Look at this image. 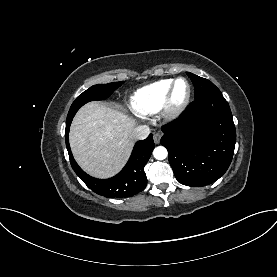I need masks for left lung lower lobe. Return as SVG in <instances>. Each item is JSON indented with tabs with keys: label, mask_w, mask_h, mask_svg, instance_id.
I'll list each match as a JSON object with an SVG mask.
<instances>
[{
	"label": "left lung lower lobe",
	"mask_w": 277,
	"mask_h": 277,
	"mask_svg": "<svg viewBox=\"0 0 277 277\" xmlns=\"http://www.w3.org/2000/svg\"><path fill=\"white\" fill-rule=\"evenodd\" d=\"M176 179L200 187L218 180L234 154L236 131L222 93L195 99L176 121L162 127Z\"/></svg>",
	"instance_id": "0a47b994"
}]
</instances>
